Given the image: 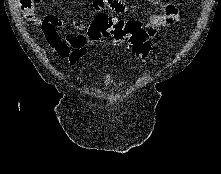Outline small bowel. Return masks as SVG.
I'll use <instances>...</instances> for the list:
<instances>
[{
    "label": "small bowel",
    "instance_id": "1",
    "mask_svg": "<svg viewBox=\"0 0 221 174\" xmlns=\"http://www.w3.org/2000/svg\"><path fill=\"white\" fill-rule=\"evenodd\" d=\"M151 4H161V0H146ZM93 8L96 15L103 14L106 9L116 14H125L129 11L122 0H94ZM179 19L178 9L173 3H163L159 13H150L145 21L144 29L149 38H153L160 27H168L175 24ZM34 23L40 28L50 46L56 53L67 59L71 64L76 63L85 56L87 50L85 47L86 37L83 34L67 33L65 40H61L57 31L61 21L53 16L43 18L37 14ZM79 31L87 29L85 25L75 24ZM71 48L73 50H71Z\"/></svg>",
    "mask_w": 221,
    "mask_h": 174
}]
</instances>
